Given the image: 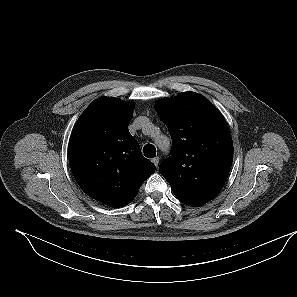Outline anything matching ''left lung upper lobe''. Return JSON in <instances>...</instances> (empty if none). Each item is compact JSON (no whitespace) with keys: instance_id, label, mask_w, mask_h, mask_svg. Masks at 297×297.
<instances>
[{"instance_id":"left-lung-upper-lobe-1","label":"left lung upper lobe","mask_w":297,"mask_h":297,"mask_svg":"<svg viewBox=\"0 0 297 297\" xmlns=\"http://www.w3.org/2000/svg\"><path fill=\"white\" fill-rule=\"evenodd\" d=\"M155 110L172 138L171 156L159 172L181 202H209L223 188L233 161L232 138L220 111L194 92L160 99Z\"/></svg>"}]
</instances>
